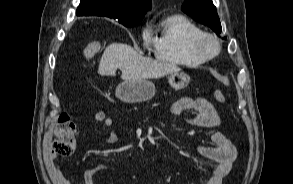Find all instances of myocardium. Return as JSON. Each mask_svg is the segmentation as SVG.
<instances>
[{
    "label": "myocardium",
    "instance_id": "myocardium-1",
    "mask_svg": "<svg viewBox=\"0 0 293 184\" xmlns=\"http://www.w3.org/2000/svg\"><path fill=\"white\" fill-rule=\"evenodd\" d=\"M207 41L214 45L213 51L206 49L205 42ZM191 47L196 55L206 60L217 56L221 49L219 40L213 34L204 31H201L192 39Z\"/></svg>",
    "mask_w": 293,
    "mask_h": 184
}]
</instances>
